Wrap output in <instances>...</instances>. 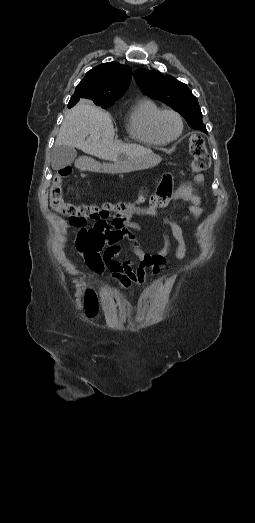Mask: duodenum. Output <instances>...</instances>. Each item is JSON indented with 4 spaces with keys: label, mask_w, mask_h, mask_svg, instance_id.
<instances>
[{
    "label": "duodenum",
    "mask_w": 255,
    "mask_h": 523,
    "mask_svg": "<svg viewBox=\"0 0 255 523\" xmlns=\"http://www.w3.org/2000/svg\"><path fill=\"white\" fill-rule=\"evenodd\" d=\"M78 166L82 170H91L93 167V160L90 157H83L79 160Z\"/></svg>",
    "instance_id": "obj_1"
}]
</instances>
